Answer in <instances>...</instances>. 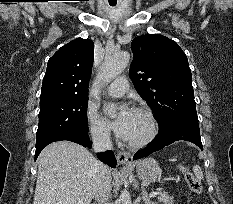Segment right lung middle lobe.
I'll return each mask as SVG.
<instances>
[{
	"label": "right lung middle lobe",
	"mask_w": 233,
	"mask_h": 204,
	"mask_svg": "<svg viewBox=\"0 0 233 204\" xmlns=\"http://www.w3.org/2000/svg\"><path fill=\"white\" fill-rule=\"evenodd\" d=\"M88 97L40 101L36 146L68 133H88Z\"/></svg>",
	"instance_id": "dd1d6c3e"
}]
</instances>
